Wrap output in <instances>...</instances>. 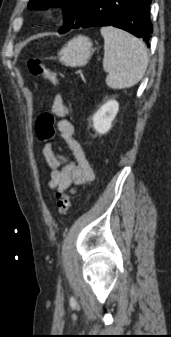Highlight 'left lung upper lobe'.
Segmentation results:
<instances>
[{
    "label": "left lung upper lobe",
    "mask_w": 171,
    "mask_h": 337,
    "mask_svg": "<svg viewBox=\"0 0 171 337\" xmlns=\"http://www.w3.org/2000/svg\"><path fill=\"white\" fill-rule=\"evenodd\" d=\"M86 0H30L28 7L30 9L45 8L47 6H60L64 12V26L61 27L59 33L69 31L75 24L78 16L80 15Z\"/></svg>",
    "instance_id": "left-lung-upper-lobe-1"
}]
</instances>
